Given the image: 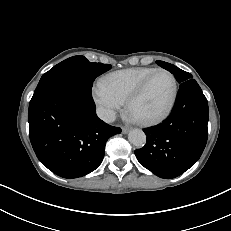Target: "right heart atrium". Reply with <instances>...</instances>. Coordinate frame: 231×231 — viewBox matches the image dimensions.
I'll list each match as a JSON object with an SVG mask.
<instances>
[{"label":"right heart atrium","mask_w":231,"mask_h":231,"mask_svg":"<svg viewBox=\"0 0 231 231\" xmlns=\"http://www.w3.org/2000/svg\"><path fill=\"white\" fill-rule=\"evenodd\" d=\"M93 99L100 115L106 121H111L122 106V102L103 89L100 84L93 89Z\"/></svg>","instance_id":"obj_1"}]
</instances>
